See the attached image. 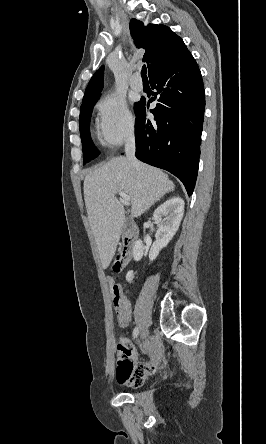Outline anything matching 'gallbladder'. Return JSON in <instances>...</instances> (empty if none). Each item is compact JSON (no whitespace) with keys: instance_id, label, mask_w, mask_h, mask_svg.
<instances>
[{"instance_id":"bac80fb5","label":"gallbladder","mask_w":266,"mask_h":444,"mask_svg":"<svg viewBox=\"0 0 266 444\" xmlns=\"http://www.w3.org/2000/svg\"><path fill=\"white\" fill-rule=\"evenodd\" d=\"M129 225H130V222H129V221H127V222H126V229H128V228H129Z\"/></svg>"}]
</instances>
